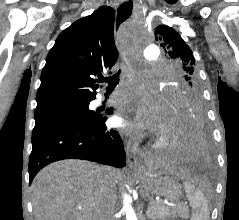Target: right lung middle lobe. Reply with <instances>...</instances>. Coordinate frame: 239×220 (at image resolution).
I'll return each instance as SVG.
<instances>
[{
	"label": "right lung middle lobe",
	"mask_w": 239,
	"mask_h": 220,
	"mask_svg": "<svg viewBox=\"0 0 239 220\" xmlns=\"http://www.w3.org/2000/svg\"><path fill=\"white\" fill-rule=\"evenodd\" d=\"M88 106L89 102L39 107L35 110V122L59 121L91 125L96 123L99 115L90 111Z\"/></svg>",
	"instance_id": "1"
}]
</instances>
